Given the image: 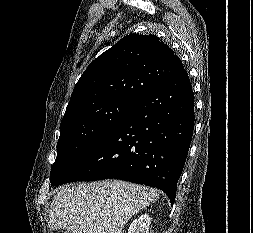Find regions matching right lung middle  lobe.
I'll return each instance as SVG.
<instances>
[{"mask_svg": "<svg viewBox=\"0 0 253 233\" xmlns=\"http://www.w3.org/2000/svg\"><path fill=\"white\" fill-rule=\"evenodd\" d=\"M135 100L111 98L74 109L63 117L51 182L95 148L122 120Z\"/></svg>", "mask_w": 253, "mask_h": 233, "instance_id": "1", "label": "right lung middle lobe"}]
</instances>
